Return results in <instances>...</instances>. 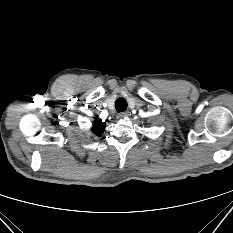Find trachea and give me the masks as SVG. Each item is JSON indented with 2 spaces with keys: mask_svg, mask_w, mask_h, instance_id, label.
<instances>
[{
  "mask_svg": "<svg viewBox=\"0 0 233 233\" xmlns=\"http://www.w3.org/2000/svg\"><path fill=\"white\" fill-rule=\"evenodd\" d=\"M117 112H122L127 109V101L124 98H118L115 102Z\"/></svg>",
  "mask_w": 233,
  "mask_h": 233,
  "instance_id": "3493384b",
  "label": "trachea"
}]
</instances>
